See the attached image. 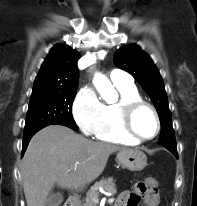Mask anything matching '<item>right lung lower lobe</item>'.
I'll return each instance as SVG.
<instances>
[{"mask_svg":"<svg viewBox=\"0 0 197 206\" xmlns=\"http://www.w3.org/2000/svg\"><path fill=\"white\" fill-rule=\"evenodd\" d=\"M40 130H41V129H40ZM38 131H39V130L34 131V132L30 133V134L24 135V137H23L22 156L24 155V153H25V151H26V149H27V146H28V144H29V141L31 140V138L33 137V135H34L35 133H37Z\"/></svg>","mask_w":197,"mask_h":206,"instance_id":"obj_1","label":"right lung lower lobe"}]
</instances>
